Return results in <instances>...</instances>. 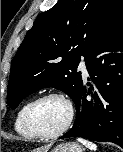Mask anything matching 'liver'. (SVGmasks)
I'll use <instances>...</instances> for the list:
<instances>
[{
	"instance_id": "obj_1",
	"label": "liver",
	"mask_w": 123,
	"mask_h": 152,
	"mask_svg": "<svg viewBox=\"0 0 123 152\" xmlns=\"http://www.w3.org/2000/svg\"><path fill=\"white\" fill-rule=\"evenodd\" d=\"M50 147H51V145H46L44 147L36 148L32 152H48Z\"/></svg>"
}]
</instances>
